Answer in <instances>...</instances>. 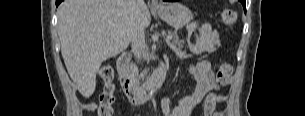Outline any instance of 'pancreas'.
Returning a JSON list of instances; mask_svg holds the SVG:
<instances>
[{
    "mask_svg": "<svg viewBox=\"0 0 305 116\" xmlns=\"http://www.w3.org/2000/svg\"><path fill=\"white\" fill-rule=\"evenodd\" d=\"M170 36L172 37V43H170V47L177 53L179 57L187 58L188 55L186 54L185 51H182L183 48V42L179 40V37L176 33H171ZM191 51L194 54H201L204 51H208V49L202 45L196 44L192 45L190 47ZM130 73L133 77H137L138 71L137 68L134 66V64H131L130 66Z\"/></svg>",
    "mask_w": 305,
    "mask_h": 116,
    "instance_id": "cf45deb5",
    "label": "pancreas"
}]
</instances>
